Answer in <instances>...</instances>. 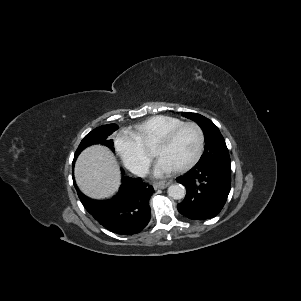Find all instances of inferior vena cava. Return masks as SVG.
<instances>
[{"label": "inferior vena cava", "mask_w": 301, "mask_h": 301, "mask_svg": "<svg viewBox=\"0 0 301 301\" xmlns=\"http://www.w3.org/2000/svg\"><path fill=\"white\" fill-rule=\"evenodd\" d=\"M148 167L146 166H136L132 169V173L138 175V176H144L148 173Z\"/></svg>", "instance_id": "obj_1"}]
</instances>
